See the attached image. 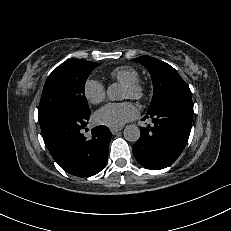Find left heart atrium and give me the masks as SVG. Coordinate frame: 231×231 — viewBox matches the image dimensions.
<instances>
[{
    "label": "left heart atrium",
    "mask_w": 231,
    "mask_h": 231,
    "mask_svg": "<svg viewBox=\"0 0 231 231\" xmlns=\"http://www.w3.org/2000/svg\"><path fill=\"white\" fill-rule=\"evenodd\" d=\"M137 109L131 102L109 103L94 115L97 124L109 128H121L137 116Z\"/></svg>",
    "instance_id": "obj_1"
}]
</instances>
